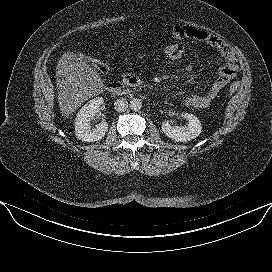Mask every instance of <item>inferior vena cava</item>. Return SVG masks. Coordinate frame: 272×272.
Here are the masks:
<instances>
[{"instance_id":"inferior-vena-cava-1","label":"inferior vena cava","mask_w":272,"mask_h":272,"mask_svg":"<svg viewBox=\"0 0 272 272\" xmlns=\"http://www.w3.org/2000/svg\"><path fill=\"white\" fill-rule=\"evenodd\" d=\"M128 108V102L126 99H117L114 103V109L117 112H124Z\"/></svg>"}]
</instances>
